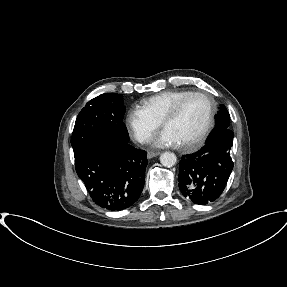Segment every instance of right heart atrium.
<instances>
[{"label": "right heart atrium", "instance_id": "right-heart-atrium-1", "mask_svg": "<svg viewBox=\"0 0 287 287\" xmlns=\"http://www.w3.org/2000/svg\"><path fill=\"white\" fill-rule=\"evenodd\" d=\"M125 123L128 131L139 143L149 142L160 126V123L150 118L140 108L129 110Z\"/></svg>", "mask_w": 287, "mask_h": 287}]
</instances>
